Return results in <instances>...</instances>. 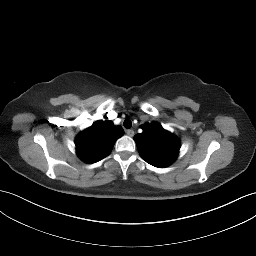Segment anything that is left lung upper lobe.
<instances>
[{
	"label": "left lung upper lobe",
	"mask_w": 256,
	"mask_h": 256,
	"mask_svg": "<svg viewBox=\"0 0 256 256\" xmlns=\"http://www.w3.org/2000/svg\"><path fill=\"white\" fill-rule=\"evenodd\" d=\"M141 128L143 132L136 134L134 140L142 158L155 167L172 164L180 149L178 138L157 122L143 124Z\"/></svg>",
	"instance_id": "1"
}]
</instances>
